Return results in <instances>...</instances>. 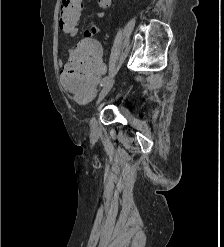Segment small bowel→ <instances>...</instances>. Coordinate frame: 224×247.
<instances>
[{"mask_svg": "<svg viewBox=\"0 0 224 247\" xmlns=\"http://www.w3.org/2000/svg\"><path fill=\"white\" fill-rule=\"evenodd\" d=\"M96 15H97L98 18H103L104 17V12L103 11H98L96 13ZM99 32H100V29L96 25L91 24L90 27H89V29L84 32V39H83V41H85V40H95L93 38V36L95 34L99 33ZM77 33H78V27L77 26L76 27H73L68 32V34L70 36H75V35H77ZM59 63L61 64L62 63V60H59Z\"/></svg>", "mask_w": 224, "mask_h": 247, "instance_id": "small-bowel-1", "label": "small bowel"}]
</instances>
